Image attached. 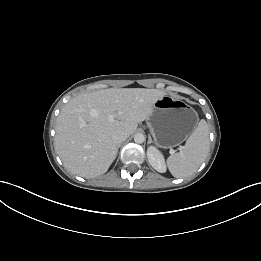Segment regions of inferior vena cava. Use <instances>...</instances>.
<instances>
[{
  "mask_svg": "<svg viewBox=\"0 0 261 261\" xmlns=\"http://www.w3.org/2000/svg\"><path fill=\"white\" fill-rule=\"evenodd\" d=\"M128 134L126 132H116L112 135V140L115 144L119 145L123 141H125L128 138Z\"/></svg>",
  "mask_w": 261,
  "mask_h": 261,
  "instance_id": "inferior-vena-cava-1",
  "label": "inferior vena cava"
}]
</instances>
